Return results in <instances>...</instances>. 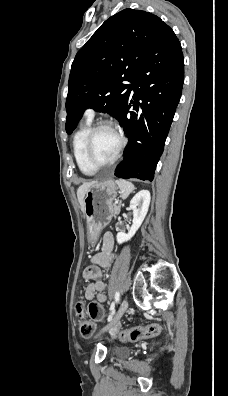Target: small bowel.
<instances>
[{"instance_id":"1","label":"small bowel","mask_w":228,"mask_h":396,"mask_svg":"<svg viewBox=\"0 0 228 396\" xmlns=\"http://www.w3.org/2000/svg\"><path fill=\"white\" fill-rule=\"evenodd\" d=\"M114 237L112 233L107 232L102 237L101 251L94 254L91 258V263L84 272L83 278L91 282L85 289V298L88 300H96L98 303H104L107 299L105 290V283L101 279V268L110 267L114 260Z\"/></svg>"}]
</instances>
